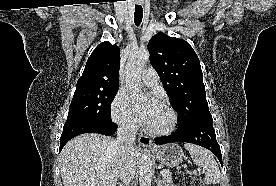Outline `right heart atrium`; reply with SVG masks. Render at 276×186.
Segmentation results:
<instances>
[{
	"label": "right heart atrium",
	"instance_id": "obj_1",
	"mask_svg": "<svg viewBox=\"0 0 276 186\" xmlns=\"http://www.w3.org/2000/svg\"><path fill=\"white\" fill-rule=\"evenodd\" d=\"M111 117L113 121L126 131H135L136 120L130 109V102L127 93L119 90L111 104Z\"/></svg>",
	"mask_w": 276,
	"mask_h": 186
}]
</instances>
